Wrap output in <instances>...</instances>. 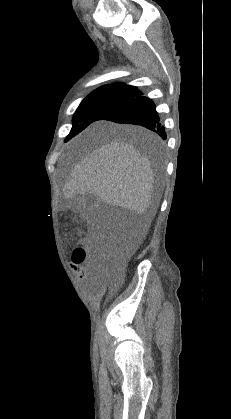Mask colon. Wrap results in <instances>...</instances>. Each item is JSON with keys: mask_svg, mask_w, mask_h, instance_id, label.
Returning <instances> with one entry per match:
<instances>
[{"mask_svg": "<svg viewBox=\"0 0 231 419\" xmlns=\"http://www.w3.org/2000/svg\"><path fill=\"white\" fill-rule=\"evenodd\" d=\"M85 256H86V251L83 248L81 247L76 248L73 252L74 263L76 264L81 263L85 259ZM121 271H122V260L115 255L111 256L110 267H109V271L107 275L116 276Z\"/></svg>", "mask_w": 231, "mask_h": 419, "instance_id": "colon-1", "label": "colon"}]
</instances>
